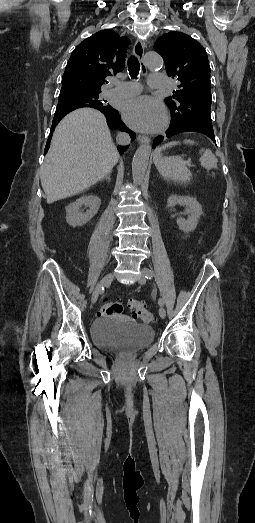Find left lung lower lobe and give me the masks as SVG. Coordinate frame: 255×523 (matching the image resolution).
Masks as SVG:
<instances>
[{
  "mask_svg": "<svg viewBox=\"0 0 255 523\" xmlns=\"http://www.w3.org/2000/svg\"><path fill=\"white\" fill-rule=\"evenodd\" d=\"M183 130H196L197 132H207V130H203V127H197L193 125H179V127H170L169 129H165V134H161V137H156V139L153 141L152 147L154 149H157L159 145H162V140H166V137H174L175 135H181V132ZM207 133V137H211V140H216V134H209Z\"/></svg>",
  "mask_w": 255,
  "mask_h": 523,
  "instance_id": "left-lung-lower-lobe-1",
  "label": "left lung lower lobe"
}]
</instances>
